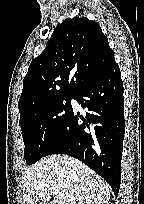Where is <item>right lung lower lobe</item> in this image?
Masks as SVG:
<instances>
[{"label": "right lung lower lobe", "mask_w": 144, "mask_h": 204, "mask_svg": "<svg viewBox=\"0 0 144 204\" xmlns=\"http://www.w3.org/2000/svg\"><path fill=\"white\" fill-rule=\"evenodd\" d=\"M123 92L120 69L113 61L74 95L88 111L84 116L72 111L44 155L61 153L77 158L103 177L116 197L125 132Z\"/></svg>", "instance_id": "1"}]
</instances>
